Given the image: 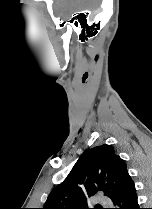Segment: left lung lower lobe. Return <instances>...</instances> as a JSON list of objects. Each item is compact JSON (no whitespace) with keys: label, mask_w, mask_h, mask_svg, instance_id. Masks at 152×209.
Returning a JSON list of instances; mask_svg holds the SVG:
<instances>
[{"label":"left lung lower lobe","mask_w":152,"mask_h":209,"mask_svg":"<svg viewBox=\"0 0 152 209\" xmlns=\"http://www.w3.org/2000/svg\"><path fill=\"white\" fill-rule=\"evenodd\" d=\"M111 200L115 206L113 209H140L135 185L131 177L126 180L122 189Z\"/></svg>","instance_id":"left-lung-lower-lobe-1"}]
</instances>
